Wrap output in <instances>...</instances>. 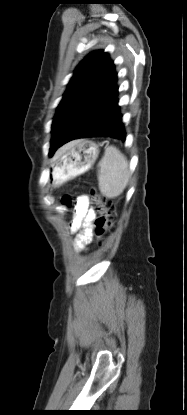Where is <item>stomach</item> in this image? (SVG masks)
<instances>
[{"instance_id": "1", "label": "stomach", "mask_w": 187, "mask_h": 415, "mask_svg": "<svg viewBox=\"0 0 187 415\" xmlns=\"http://www.w3.org/2000/svg\"><path fill=\"white\" fill-rule=\"evenodd\" d=\"M99 146L90 140H77L57 156L48 168L52 185H61L85 172L95 163Z\"/></svg>"}]
</instances>
